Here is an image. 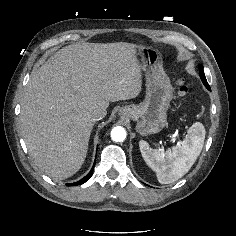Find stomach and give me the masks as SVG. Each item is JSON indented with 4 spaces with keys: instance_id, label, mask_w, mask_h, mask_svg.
Wrapping results in <instances>:
<instances>
[{
    "instance_id": "stomach-1",
    "label": "stomach",
    "mask_w": 236,
    "mask_h": 236,
    "mask_svg": "<svg viewBox=\"0 0 236 236\" xmlns=\"http://www.w3.org/2000/svg\"><path fill=\"white\" fill-rule=\"evenodd\" d=\"M145 72L146 96L139 105L122 107L120 115L136 121L140 135L160 132L167 124V110L173 98L169 77L162 68V55L152 46H136Z\"/></svg>"
}]
</instances>
